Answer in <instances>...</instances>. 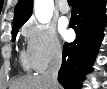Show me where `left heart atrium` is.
Returning <instances> with one entry per match:
<instances>
[{"instance_id":"obj_1","label":"left heart atrium","mask_w":107,"mask_h":89,"mask_svg":"<svg viewBox=\"0 0 107 89\" xmlns=\"http://www.w3.org/2000/svg\"><path fill=\"white\" fill-rule=\"evenodd\" d=\"M61 33L64 37H66L68 35V31L66 30L65 26L61 27Z\"/></svg>"}]
</instances>
